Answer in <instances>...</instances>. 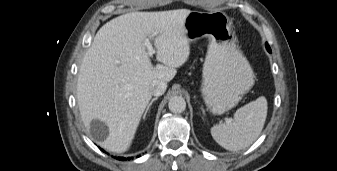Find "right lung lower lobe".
I'll return each instance as SVG.
<instances>
[{"label":"right lung lower lobe","instance_id":"obj_1","mask_svg":"<svg viewBox=\"0 0 337 171\" xmlns=\"http://www.w3.org/2000/svg\"><path fill=\"white\" fill-rule=\"evenodd\" d=\"M117 159H118V160H122V161L125 160V158H123V157H117ZM129 159H130V158H128V160H129Z\"/></svg>","mask_w":337,"mask_h":171}]
</instances>
